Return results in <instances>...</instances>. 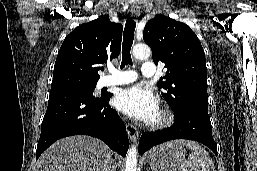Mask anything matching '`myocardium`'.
I'll return each instance as SVG.
<instances>
[{"label":"myocardium","mask_w":257,"mask_h":171,"mask_svg":"<svg viewBox=\"0 0 257 171\" xmlns=\"http://www.w3.org/2000/svg\"><path fill=\"white\" fill-rule=\"evenodd\" d=\"M174 121L173 112L167 107L158 109V117L155 120L147 122V126L151 129H163L170 126Z\"/></svg>","instance_id":"1"}]
</instances>
